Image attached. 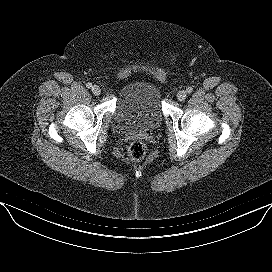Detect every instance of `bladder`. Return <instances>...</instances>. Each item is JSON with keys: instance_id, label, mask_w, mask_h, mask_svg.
Returning a JSON list of instances; mask_svg holds the SVG:
<instances>
[{"instance_id": "obj_1", "label": "bladder", "mask_w": 272, "mask_h": 272, "mask_svg": "<svg viewBox=\"0 0 272 272\" xmlns=\"http://www.w3.org/2000/svg\"><path fill=\"white\" fill-rule=\"evenodd\" d=\"M160 86L149 79H134L121 90L114 125L120 131L152 130L163 119Z\"/></svg>"}]
</instances>
